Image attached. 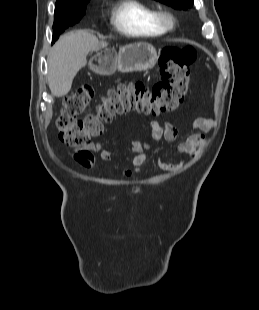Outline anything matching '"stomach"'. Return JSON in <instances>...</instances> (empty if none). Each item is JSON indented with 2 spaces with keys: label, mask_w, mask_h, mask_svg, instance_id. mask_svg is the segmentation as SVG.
<instances>
[{
  "label": "stomach",
  "mask_w": 259,
  "mask_h": 310,
  "mask_svg": "<svg viewBox=\"0 0 259 310\" xmlns=\"http://www.w3.org/2000/svg\"><path fill=\"white\" fill-rule=\"evenodd\" d=\"M158 60L156 49L149 43L138 42L125 45L118 54L105 48L96 53L89 62L90 69L98 75L146 71L154 67Z\"/></svg>",
  "instance_id": "stomach-1"
}]
</instances>
